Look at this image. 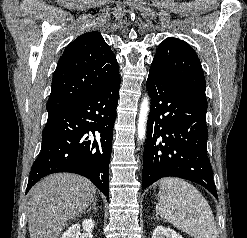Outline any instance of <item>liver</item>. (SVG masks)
I'll list each match as a JSON object with an SVG mask.
<instances>
[{
    "label": "liver",
    "mask_w": 247,
    "mask_h": 238,
    "mask_svg": "<svg viewBox=\"0 0 247 238\" xmlns=\"http://www.w3.org/2000/svg\"><path fill=\"white\" fill-rule=\"evenodd\" d=\"M95 186L71 173L45 177L29 192L30 238H58L66 222L85 211L94 201Z\"/></svg>",
    "instance_id": "obj_1"
}]
</instances>
